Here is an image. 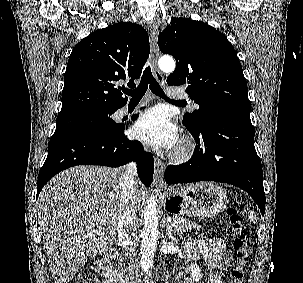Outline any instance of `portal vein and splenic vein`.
Here are the masks:
<instances>
[{"instance_id":"obj_1","label":"portal vein and splenic vein","mask_w":303,"mask_h":283,"mask_svg":"<svg viewBox=\"0 0 303 283\" xmlns=\"http://www.w3.org/2000/svg\"><path fill=\"white\" fill-rule=\"evenodd\" d=\"M171 226H172V227H174V226H175V224H174V223H171Z\"/></svg>"}]
</instances>
